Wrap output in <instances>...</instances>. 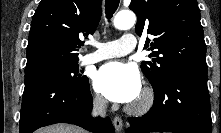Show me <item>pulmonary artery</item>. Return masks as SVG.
I'll list each match as a JSON object with an SVG mask.
<instances>
[{"mask_svg": "<svg viewBox=\"0 0 221 133\" xmlns=\"http://www.w3.org/2000/svg\"><path fill=\"white\" fill-rule=\"evenodd\" d=\"M93 45L97 49L83 57L84 64L96 63L105 59L127 55L136 48L137 41L134 35L125 34L119 41L106 43L95 42Z\"/></svg>", "mask_w": 221, "mask_h": 133, "instance_id": "pulmonary-artery-1", "label": "pulmonary artery"}]
</instances>
